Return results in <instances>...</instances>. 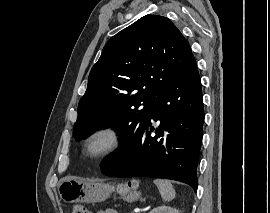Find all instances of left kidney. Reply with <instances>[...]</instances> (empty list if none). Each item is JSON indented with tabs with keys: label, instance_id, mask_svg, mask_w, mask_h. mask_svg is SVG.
Wrapping results in <instances>:
<instances>
[{
	"label": "left kidney",
	"instance_id": "5707ae66",
	"mask_svg": "<svg viewBox=\"0 0 270 213\" xmlns=\"http://www.w3.org/2000/svg\"><path fill=\"white\" fill-rule=\"evenodd\" d=\"M149 213H179L178 210L170 206H159L151 210Z\"/></svg>",
	"mask_w": 270,
	"mask_h": 213
}]
</instances>
